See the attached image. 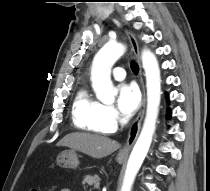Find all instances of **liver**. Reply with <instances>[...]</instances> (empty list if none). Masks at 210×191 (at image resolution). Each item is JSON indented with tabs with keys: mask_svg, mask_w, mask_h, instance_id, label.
Instances as JSON below:
<instances>
[{
	"mask_svg": "<svg viewBox=\"0 0 210 191\" xmlns=\"http://www.w3.org/2000/svg\"><path fill=\"white\" fill-rule=\"evenodd\" d=\"M57 146L78 150L93 158H103L116 151L120 144L98 134L76 132L64 136Z\"/></svg>",
	"mask_w": 210,
	"mask_h": 191,
	"instance_id": "obj_1",
	"label": "liver"
}]
</instances>
